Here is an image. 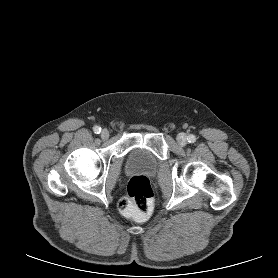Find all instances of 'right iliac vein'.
<instances>
[{
	"instance_id": "63e3f726",
	"label": "right iliac vein",
	"mask_w": 278,
	"mask_h": 278,
	"mask_svg": "<svg viewBox=\"0 0 278 278\" xmlns=\"http://www.w3.org/2000/svg\"><path fill=\"white\" fill-rule=\"evenodd\" d=\"M100 136H101V138H102L103 140L108 139V138H109V132H108V130L103 129V130L101 131Z\"/></svg>"
}]
</instances>
